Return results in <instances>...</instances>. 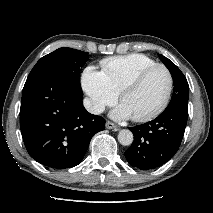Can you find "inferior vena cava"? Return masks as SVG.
Segmentation results:
<instances>
[{"instance_id":"obj_1","label":"inferior vena cava","mask_w":213,"mask_h":213,"mask_svg":"<svg viewBox=\"0 0 213 213\" xmlns=\"http://www.w3.org/2000/svg\"><path fill=\"white\" fill-rule=\"evenodd\" d=\"M84 107L86 110L92 114H100L105 110L104 105L101 103H98L96 101L90 100L88 98H85L83 100Z\"/></svg>"}]
</instances>
